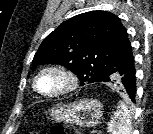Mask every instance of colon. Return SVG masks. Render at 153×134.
Returning <instances> with one entry per match:
<instances>
[{
	"label": "colon",
	"instance_id": "5ec220e1",
	"mask_svg": "<svg viewBox=\"0 0 153 134\" xmlns=\"http://www.w3.org/2000/svg\"><path fill=\"white\" fill-rule=\"evenodd\" d=\"M26 134H36V133H26ZM51 134H80L74 127L53 125L51 127Z\"/></svg>",
	"mask_w": 153,
	"mask_h": 134
}]
</instances>
